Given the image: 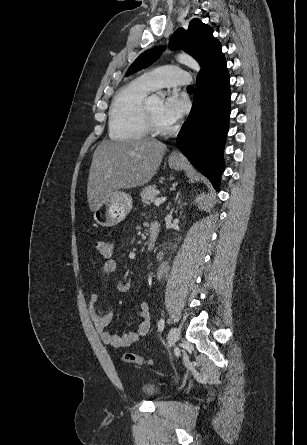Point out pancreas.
<instances>
[{"label": "pancreas", "mask_w": 307, "mask_h": 445, "mask_svg": "<svg viewBox=\"0 0 307 445\" xmlns=\"http://www.w3.org/2000/svg\"><path fill=\"white\" fill-rule=\"evenodd\" d=\"M156 186L155 184H152V186H146V188H143L140 192L141 200L142 202H152V200H155L156 198Z\"/></svg>", "instance_id": "pancreas-1"}]
</instances>
